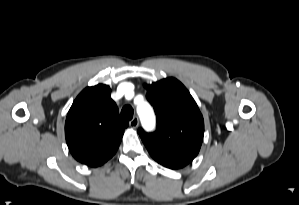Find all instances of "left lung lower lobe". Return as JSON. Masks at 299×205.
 Instances as JSON below:
<instances>
[{"mask_svg": "<svg viewBox=\"0 0 299 205\" xmlns=\"http://www.w3.org/2000/svg\"><path fill=\"white\" fill-rule=\"evenodd\" d=\"M145 146L156 162L170 169H179L189 164L197 156L201 147L182 142L151 143Z\"/></svg>", "mask_w": 299, "mask_h": 205, "instance_id": "left-lung-lower-lobe-1", "label": "left lung lower lobe"}]
</instances>
